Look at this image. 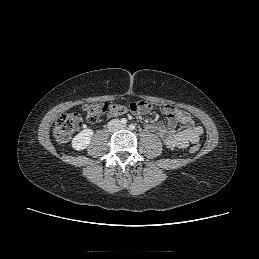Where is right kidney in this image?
Returning a JSON list of instances; mask_svg holds the SVG:
<instances>
[{
  "instance_id": "obj_1",
  "label": "right kidney",
  "mask_w": 259,
  "mask_h": 259,
  "mask_svg": "<svg viewBox=\"0 0 259 259\" xmlns=\"http://www.w3.org/2000/svg\"><path fill=\"white\" fill-rule=\"evenodd\" d=\"M94 131L92 129H84L78 133L72 140V147L75 150H84L89 144Z\"/></svg>"
}]
</instances>
